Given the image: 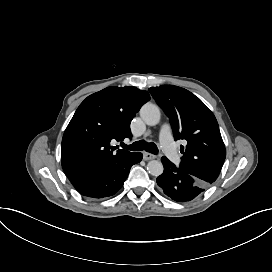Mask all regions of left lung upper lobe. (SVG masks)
Returning <instances> with one entry per match:
<instances>
[{"instance_id":"left-lung-upper-lobe-1","label":"left lung upper lobe","mask_w":272,"mask_h":272,"mask_svg":"<svg viewBox=\"0 0 272 272\" xmlns=\"http://www.w3.org/2000/svg\"><path fill=\"white\" fill-rule=\"evenodd\" d=\"M155 101L170 119L175 140L181 146L179 168L205 184H212L221 171L226 150L214 114L190 91L161 85L149 89Z\"/></svg>"}]
</instances>
